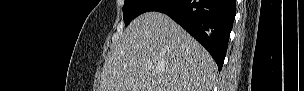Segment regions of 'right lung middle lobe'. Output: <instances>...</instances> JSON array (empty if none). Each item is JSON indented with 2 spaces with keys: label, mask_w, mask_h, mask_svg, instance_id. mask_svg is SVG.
<instances>
[{
  "label": "right lung middle lobe",
  "mask_w": 304,
  "mask_h": 91,
  "mask_svg": "<svg viewBox=\"0 0 304 91\" xmlns=\"http://www.w3.org/2000/svg\"><path fill=\"white\" fill-rule=\"evenodd\" d=\"M155 0H125L123 6V19L127 26L133 19L147 11Z\"/></svg>",
  "instance_id": "dd1d6c3e"
}]
</instances>
